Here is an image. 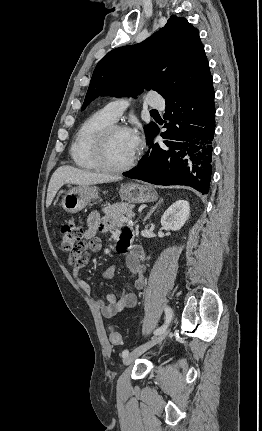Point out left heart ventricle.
Instances as JSON below:
<instances>
[{
  "instance_id": "left-heart-ventricle-1",
  "label": "left heart ventricle",
  "mask_w": 262,
  "mask_h": 431,
  "mask_svg": "<svg viewBox=\"0 0 262 431\" xmlns=\"http://www.w3.org/2000/svg\"><path fill=\"white\" fill-rule=\"evenodd\" d=\"M135 152L127 131H117L109 138L107 158L111 165L120 166L127 163Z\"/></svg>"
}]
</instances>
